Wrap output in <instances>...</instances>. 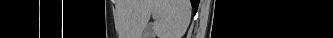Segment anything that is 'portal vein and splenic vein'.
<instances>
[{
    "label": "portal vein and splenic vein",
    "mask_w": 333,
    "mask_h": 38,
    "mask_svg": "<svg viewBox=\"0 0 333 38\" xmlns=\"http://www.w3.org/2000/svg\"><path fill=\"white\" fill-rule=\"evenodd\" d=\"M152 16H153V18H155V17H156V15H155V14H152Z\"/></svg>",
    "instance_id": "18ae733b"
}]
</instances>
